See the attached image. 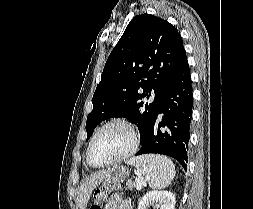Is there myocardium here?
<instances>
[{
	"mask_svg": "<svg viewBox=\"0 0 253 209\" xmlns=\"http://www.w3.org/2000/svg\"><path fill=\"white\" fill-rule=\"evenodd\" d=\"M112 125L124 126L129 131L130 137H131L130 146L118 157H116L108 162L102 163V164H96L93 162L92 156H91L93 143L102 130H104L105 128L112 126ZM138 144H139V132H138L137 127L135 126V124L132 121H130L127 118H123V117H116V118L110 119V120L106 121L105 123H103L95 131L92 138L90 139V142L87 147V162L93 168H103V167H107V166L119 163V162L123 161L124 159H126L127 157H129L130 155H132L135 152V150L137 149Z\"/></svg>",
	"mask_w": 253,
	"mask_h": 209,
	"instance_id": "1",
	"label": "myocardium"
}]
</instances>
